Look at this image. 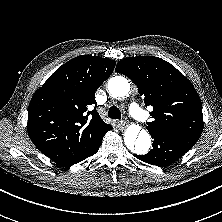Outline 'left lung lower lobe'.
Returning a JSON list of instances; mask_svg holds the SVG:
<instances>
[{
	"label": "left lung lower lobe",
	"instance_id": "1",
	"mask_svg": "<svg viewBox=\"0 0 222 222\" xmlns=\"http://www.w3.org/2000/svg\"><path fill=\"white\" fill-rule=\"evenodd\" d=\"M153 149L146 155H134L139 160L151 165L165 167L181 158L199 138L171 130H150Z\"/></svg>",
	"mask_w": 222,
	"mask_h": 222
}]
</instances>
